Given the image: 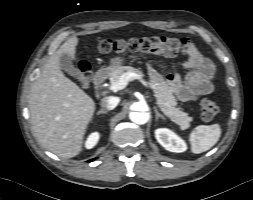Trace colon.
Masks as SVG:
<instances>
[{"instance_id":"1","label":"colon","mask_w":253,"mask_h":200,"mask_svg":"<svg viewBox=\"0 0 253 200\" xmlns=\"http://www.w3.org/2000/svg\"><path fill=\"white\" fill-rule=\"evenodd\" d=\"M192 44L186 38H175L167 36L146 37L129 40H103L99 48L104 53L109 52H143L166 57H173L180 54H189ZM80 71L84 77H89L90 70L87 64H79ZM218 105L211 100L204 99L200 106L201 118L212 121L218 113Z\"/></svg>"}]
</instances>
